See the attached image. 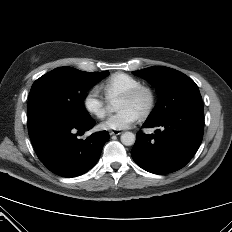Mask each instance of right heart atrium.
I'll use <instances>...</instances> for the list:
<instances>
[{
	"label": "right heart atrium",
	"mask_w": 232,
	"mask_h": 232,
	"mask_svg": "<svg viewBox=\"0 0 232 232\" xmlns=\"http://www.w3.org/2000/svg\"><path fill=\"white\" fill-rule=\"evenodd\" d=\"M83 106L92 116L102 119L107 112V101L97 89H89L83 97Z\"/></svg>",
	"instance_id": "obj_1"
}]
</instances>
